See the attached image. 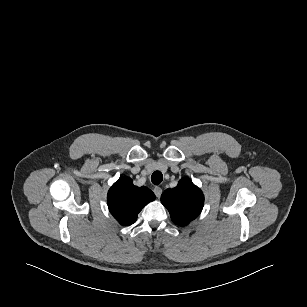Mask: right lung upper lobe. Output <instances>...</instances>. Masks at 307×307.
Returning <instances> with one entry per match:
<instances>
[{
  "mask_svg": "<svg viewBox=\"0 0 307 307\" xmlns=\"http://www.w3.org/2000/svg\"><path fill=\"white\" fill-rule=\"evenodd\" d=\"M155 199L147 187L133 185L132 179L122 177L108 191L107 201L111 214L121 225H131L145 205Z\"/></svg>",
  "mask_w": 307,
  "mask_h": 307,
  "instance_id": "obj_1",
  "label": "right lung upper lobe"
}]
</instances>
